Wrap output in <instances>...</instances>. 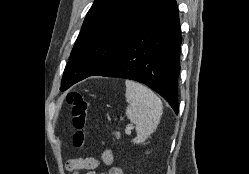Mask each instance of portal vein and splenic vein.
Returning a JSON list of instances; mask_svg holds the SVG:
<instances>
[{
  "mask_svg": "<svg viewBox=\"0 0 249 174\" xmlns=\"http://www.w3.org/2000/svg\"><path fill=\"white\" fill-rule=\"evenodd\" d=\"M131 129H133V126H132V125H131L130 127H127V128L125 129L126 134H130V133H131Z\"/></svg>",
  "mask_w": 249,
  "mask_h": 174,
  "instance_id": "portal-vein-and-splenic-vein-1",
  "label": "portal vein and splenic vein"
}]
</instances>
